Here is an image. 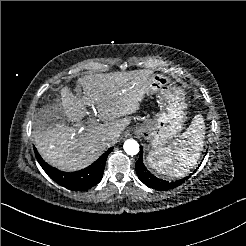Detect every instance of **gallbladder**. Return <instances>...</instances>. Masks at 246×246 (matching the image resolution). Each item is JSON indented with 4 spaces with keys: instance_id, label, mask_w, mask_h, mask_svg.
<instances>
[{
    "instance_id": "1",
    "label": "gallbladder",
    "mask_w": 246,
    "mask_h": 246,
    "mask_svg": "<svg viewBox=\"0 0 246 246\" xmlns=\"http://www.w3.org/2000/svg\"><path fill=\"white\" fill-rule=\"evenodd\" d=\"M60 107L57 105L54 106H43L40 111L39 114H37V116L39 117V115H43L44 117H50L52 116L56 122H61V121H65L66 120V116L59 111Z\"/></svg>"
}]
</instances>
